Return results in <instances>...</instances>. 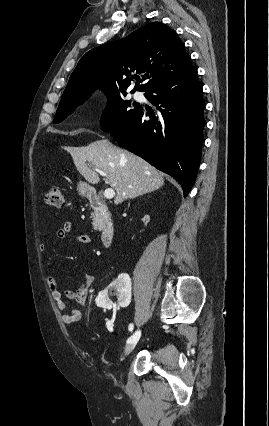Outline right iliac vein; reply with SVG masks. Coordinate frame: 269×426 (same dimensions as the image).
Segmentation results:
<instances>
[{
  "label": "right iliac vein",
  "mask_w": 269,
  "mask_h": 426,
  "mask_svg": "<svg viewBox=\"0 0 269 426\" xmlns=\"http://www.w3.org/2000/svg\"><path fill=\"white\" fill-rule=\"evenodd\" d=\"M140 330H136L133 335L131 336L130 340L128 341L126 348H125V355H129L135 348L136 344L138 343L140 339Z\"/></svg>",
  "instance_id": "right-iliac-vein-1"
}]
</instances>
